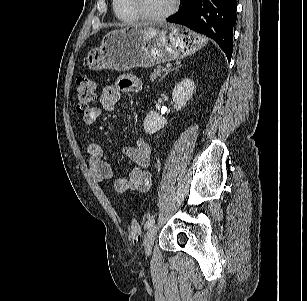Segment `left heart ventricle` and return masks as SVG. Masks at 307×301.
<instances>
[{
  "label": "left heart ventricle",
  "instance_id": "obj_1",
  "mask_svg": "<svg viewBox=\"0 0 307 301\" xmlns=\"http://www.w3.org/2000/svg\"><path fill=\"white\" fill-rule=\"evenodd\" d=\"M142 10L149 14H159L170 8L173 0H138Z\"/></svg>",
  "mask_w": 307,
  "mask_h": 301
}]
</instances>
